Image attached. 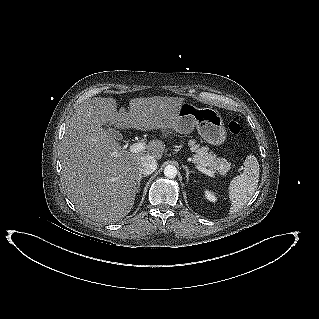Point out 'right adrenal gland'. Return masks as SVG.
<instances>
[{"instance_id":"right-adrenal-gland-1","label":"right adrenal gland","mask_w":319,"mask_h":319,"mask_svg":"<svg viewBox=\"0 0 319 319\" xmlns=\"http://www.w3.org/2000/svg\"><path fill=\"white\" fill-rule=\"evenodd\" d=\"M143 177H145V175H144V176H140V178H139V180H138V183H137V186H136V193L139 192L140 182H141V180H142Z\"/></svg>"}]
</instances>
